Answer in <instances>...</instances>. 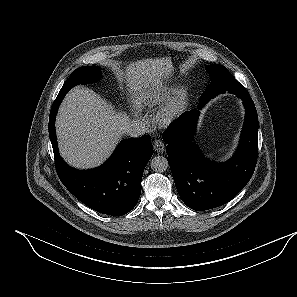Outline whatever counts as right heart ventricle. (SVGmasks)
Listing matches in <instances>:
<instances>
[{
    "label": "right heart ventricle",
    "mask_w": 297,
    "mask_h": 297,
    "mask_svg": "<svg viewBox=\"0 0 297 297\" xmlns=\"http://www.w3.org/2000/svg\"><path fill=\"white\" fill-rule=\"evenodd\" d=\"M166 94L165 91L148 92L139 97L138 103L141 106L153 107L164 101Z\"/></svg>",
    "instance_id": "e07e8e85"
}]
</instances>
